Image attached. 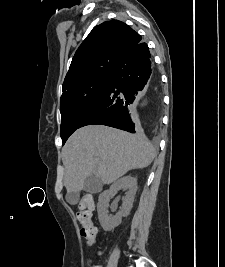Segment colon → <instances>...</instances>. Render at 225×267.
Instances as JSON below:
<instances>
[{"mask_svg":"<svg viewBox=\"0 0 225 267\" xmlns=\"http://www.w3.org/2000/svg\"><path fill=\"white\" fill-rule=\"evenodd\" d=\"M94 201L91 196L83 197L78 203L77 218L82 224L81 236L86 240L88 245H92L95 241L97 228L91 219V210L93 209ZM92 267H100L92 265Z\"/></svg>","mask_w":225,"mask_h":267,"instance_id":"obj_1","label":"colon"}]
</instances>
